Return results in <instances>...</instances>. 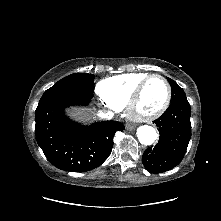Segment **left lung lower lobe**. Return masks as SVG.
Wrapping results in <instances>:
<instances>
[{
    "instance_id": "obj_1",
    "label": "left lung lower lobe",
    "mask_w": 221,
    "mask_h": 221,
    "mask_svg": "<svg viewBox=\"0 0 221 221\" xmlns=\"http://www.w3.org/2000/svg\"><path fill=\"white\" fill-rule=\"evenodd\" d=\"M191 109L187 100L175 101L156 120L158 143L145 150L142 163L150 173H162L183 159L191 138Z\"/></svg>"
}]
</instances>
